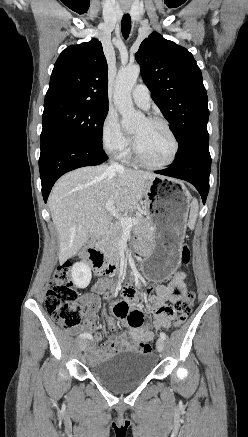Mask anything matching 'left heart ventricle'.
Returning a JSON list of instances; mask_svg holds the SVG:
<instances>
[{"instance_id":"obj_1","label":"left heart ventricle","mask_w":248,"mask_h":437,"mask_svg":"<svg viewBox=\"0 0 248 437\" xmlns=\"http://www.w3.org/2000/svg\"><path fill=\"white\" fill-rule=\"evenodd\" d=\"M132 133L144 158L151 163L167 161L173 151V142L165 128L146 119L139 121Z\"/></svg>"}]
</instances>
